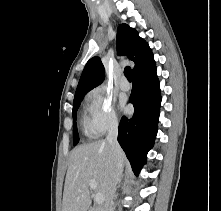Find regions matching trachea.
I'll return each instance as SVG.
<instances>
[{
  "instance_id": "trachea-1",
  "label": "trachea",
  "mask_w": 221,
  "mask_h": 211,
  "mask_svg": "<svg viewBox=\"0 0 221 211\" xmlns=\"http://www.w3.org/2000/svg\"><path fill=\"white\" fill-rule=\"evenodd\" d=\"M124 75L127 78L128 81H132V71L129 66L125 67L124 69Z\"/></svg>"
}]
</instances>
